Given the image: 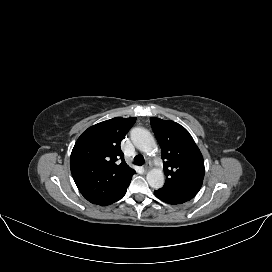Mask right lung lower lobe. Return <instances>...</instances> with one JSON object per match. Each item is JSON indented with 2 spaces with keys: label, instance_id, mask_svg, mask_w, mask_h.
Segmentation results:
<instances>
[{
  "label": "right lung lower lobe",
  "instance_id": "98d812e1",
  "mask_svg": "<svg viewBox=\"0 0 272 272\" xmlns=\"http://www.w3.org/2000/svg\"><path fill=\"white\" fill-rule=\"evenodd\" d=\"M129 184L127 186H125L119 193L114 195L112 198L108 199L107 201H105V202H103L102 204H99V205H101V206L110 205V204L118 201L119 199H121L125 195L127 187L129 186Z\"/></svg>",
  "mask_w": 272,
  "mask_h": 272
}]
</instances>
